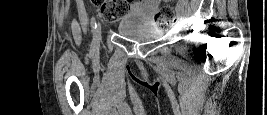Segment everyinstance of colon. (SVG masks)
I'll use <instances>...</instances> for the list:
<instances>
[{
  "mask_svg": "<svg viewBox=\"0 0 267 115\" xmlns=\"http://www.w3.org/2000/svg\"><path fill=\"white\" fill-rule=\"evenodd\" d=\"M129 11V2L126 0H108L101 4L100 16L104 21L116 22L127 15ZM154 18L159 23H170L176 20V11L170 5H164L157 8Z\"/></svg>",
  "mask_w": 267,
  "mask_h": 115,
  "instance_id": "5ec220e1",
  "label": "colon"
}]
</instances>
